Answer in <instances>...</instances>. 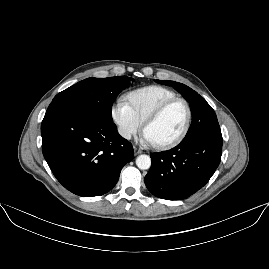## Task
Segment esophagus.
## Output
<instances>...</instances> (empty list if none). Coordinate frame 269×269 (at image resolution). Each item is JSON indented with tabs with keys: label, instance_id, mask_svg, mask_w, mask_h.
Listing matches in <instances>:
<instances>
[{
	"label": "esophagus",
	"instance_id": "esophagus-1",
	"mask_svg": "<svg viewBox=\"0 0 269 269\" xmlns=\"http://www.w3.org/2000/svg\"><path fill=\"white\" fill-rule=\"evenodd\" d=\"M134 153H135V155H137V154L142 153V151H141V150H139V149H137V148H134Z\"/></svg>",
	"mask_w": 269,
	"mask_h": 269
}]
</instances>
